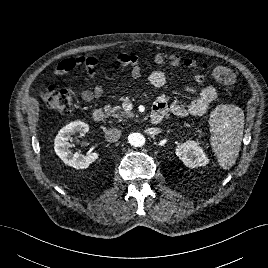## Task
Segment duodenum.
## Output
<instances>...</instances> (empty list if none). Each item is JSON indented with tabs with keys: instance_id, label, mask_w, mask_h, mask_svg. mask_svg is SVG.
Listing matches in <instances>:
<instances>
[{
	"instance_id": "duodenum-1",
	"label": "duodenum",
	"mask_w": 268,
	"mask_h": 268,
	"mask_svg": "<svg viewBox=\"0 0 268 268\" xmlns=\"http://www.w3.org/2000/svg\"><path fill=\"white\" fill-rule=\"evenodd\" d=\"M163 116H164V114L161 112H152V114L150 115V118H149V122L151 124H158L162 120ZM93 119L96 122L103 121L104 112L100 109L95 110L93 113Z\"/></svg>"
}]
</instances>
